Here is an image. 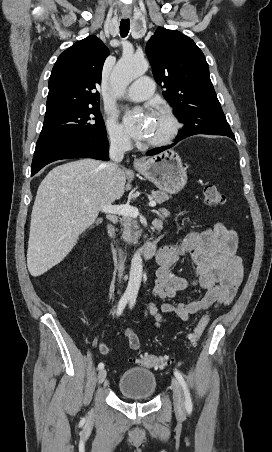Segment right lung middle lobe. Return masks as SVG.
Instances as JSON below:
<instances>
[{
	"label": "right lung middle lobe",
	"instance_id": "right-lung-middle-lobe-1",
	"mask_svg": "<svg viewBox=\"0 0 272 452\" xmlns=\"http://www.w3.org/2000/svg\"><path fill=\"white\" fill-rule=\"evenodd\" d=\"M106 136L99 104L76 107L45 114L39 139Z\"/></svg>",
	"mask_w": 272,
	"mask_h": 452
}]
</instances>
